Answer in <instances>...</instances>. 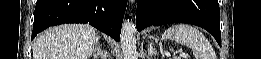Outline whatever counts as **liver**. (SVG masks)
<instances>
[{
    "instance_id": "obj_1",
    "label": "liver",
    "mask_w": 261,
    "mask_h": 59,
    "mask_svg": "<svg viewBox=\"0 0 261 59\" xmlns=\"http://www.w3.org/2000/svg\"><path fill=\"white\" fill-rule=\"evenodd\" d=\"M89 24H64L39 34L34 41L33 59H89L96 42Z\"/></svg>"
}]
</instances>
